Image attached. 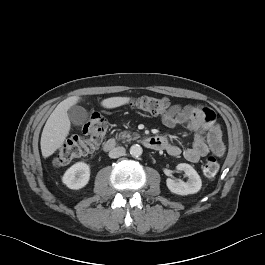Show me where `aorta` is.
I'll return each mask as SVG.
<instances>
[{
    "instance_id": "762f6f07",
    "label": "aorta",
    "mask_w": 265,
    "mask_h": 265,
    "mask_svg": "<svg viewBox=\"0 0 265 265\" xmlns=\"http://www.w3.org/2000/svg\"><path fill=\"white\" fill-rule=\"evenodd\" d=\"M143 149L139 144H134L130 147V154L133 157H139L142 155Z\"/></svg>"
}]
</instances>
